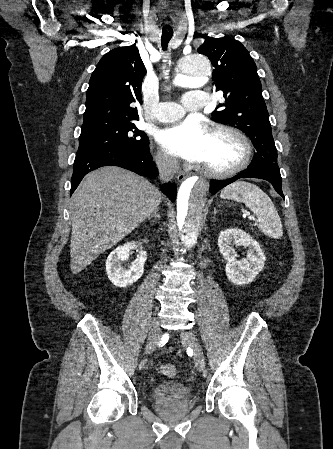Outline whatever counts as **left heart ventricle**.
<instances>
[{
  "label": "left heart ventricle",
  "mask_w": 333,
  "mask_h": 449,
  "mask_svg": "<svg viewBox=\"0 0 333 449\" xmlns=\"http://www.w3.org/2000/svg\"><path fill=\"white\" fill-rule=\"evenodd\" d=\"M239 157L240 147L237 142L226 136L209 133L201 164L221 169L233 165Z\"/></svg>",
  "instance_id": "left-heart-ventricle-1"
}]
</instances>
